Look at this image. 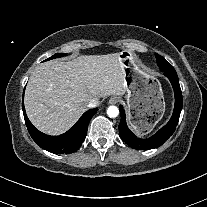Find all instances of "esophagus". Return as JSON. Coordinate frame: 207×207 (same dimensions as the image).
<instances>
[{
	"label": "esophagus",
	"instance_id": "obj_1",
	"mask_svg": "<svg viewBox=\"0 0 207 207\" xmlns=\"http://www.w3.org/2000/svg\"><path fill=\"white\" fill-rule=\"evenodd\" d=\"M118 99L116 97H112L109 99V104H117Z\"/></svg>",
	"mask_w": 207,
	"mask_h": 207
}]
</instances>
